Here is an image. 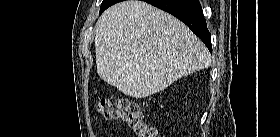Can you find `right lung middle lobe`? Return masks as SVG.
Returning a JSON list of instances; mask_svg holds the SVG:
<instances>
[{
	"mask_svg": "<svg viewBox=\"0 0 280 137\" xmlns=\"http://www.w3.org/2000/svg\"><path fill=\"white\" fill-rule=\"evenodd\" d=\"M120 1H122V0H103V2L101 4L100 13H102L104 10H106L111 5H113L117 2H120Z\"/></svg>",
	"mask_w": 280,
	"mask_h": 137,
	"instance_id": "dd1d6c3e",
	"label": "right lung middle lobe"
}]
</instances>
